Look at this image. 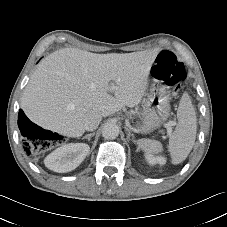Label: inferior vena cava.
I'll return each mask as SVG.
<instances>
[{
  "label": "inferior vena cava",
  "instance_id": "obj_1",
  "mask_svg": "<svg viewBox=\"0 0 227 227\" xmlns=\"http://www.w3.org/2000/svg\"><path fill=\"white\" fill-rule=\"evenodd\" d=\"M101 120H102V115L99 113H92L87 115L84 122L85 129L87 131L95 130L98 127Z\"/></svg>",
  "mask_w": 227,
  "mask_h": 227
}]
</instances>
